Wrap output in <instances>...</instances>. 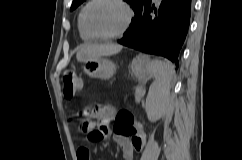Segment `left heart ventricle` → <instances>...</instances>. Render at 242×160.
Masks as SVG:
<instances>
[{"mask_svg":"<svg viewBox=\"0 0 242 160\" xmlns=\"http://www.w3.org/2000/svg\"><path fill=\"white\" fill-rule=\"evenodd\" d=\"M125 20V10L114 0H98L85 15L87 27L95 34L115 33L123 27Z\"/></svg>","mask_w":242,"mask_h":160,"instance_id":"1","label":"left heart ventricle"}]
</instances>
